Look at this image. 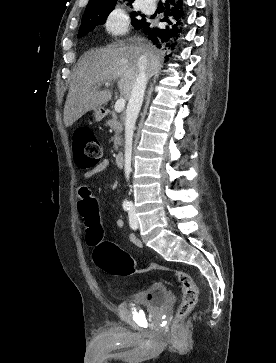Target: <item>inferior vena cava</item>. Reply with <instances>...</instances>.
I'll use <instances>...</instances> for the list:
<instances>
[{"label":"inferior vena cava","mask_w":276,"mask_h":363,"mask_svg":"<svg viewBox=\"0 0 276 363\" xmlns=\"http://www.w3.org/2000/svg\"><path fill=\"white\" fill-rule=\"evenodd\" d=\"M147 84V76L145 73V67L143 64L139 63V75L136 78L131 94L129 97V102L126 109V119H125V175L129 179V174L131 172V156H132V140L135 128L136 119L140 112L144 93Z\"/></svg>","instance_id":"obj_1"}]
</instances>
